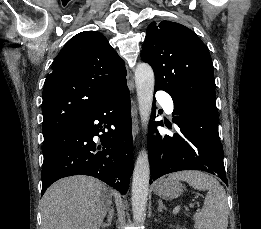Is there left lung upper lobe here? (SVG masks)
<instances>
[{"label": "left lung upper lobe", "mask_w": 261, "mask_h": 229, "mask_svg": "<svg viewBox=\"0 0 261 229\" xmlns=\"http://www.w3.org/2000/svg\"><path fill=\"white\" fill-rule=\"evenodd\" d=\"M141 58L154 70L155 87L173 98L195 99L216 107L209 50L187 27L171 21L151 23Z\"/></svg>", "instance_id": "left-lung-upper-lobe-1"}]
</instances>
